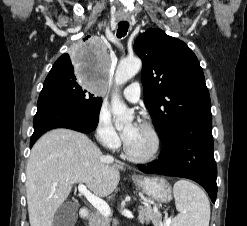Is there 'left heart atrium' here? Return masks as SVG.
Returning <instances> with one entry per match:
<instances>
[{"mask_svg": "<svg viewBox=\"0 0 247 226\" xmlns=\"http://www.w3.org/2000/svg\"><path fill=\"white\" fill-rule=\"evenodd\" d=\"M139 126L137 124L133 125V130L137 129ZM129 138V134L128 133H124V139L127 140Z\"/></svg>", "mask_w": 247, "mask_h": 226, "instance_id": "obj_1", "label": "left heart atrium"}]
</instances>
